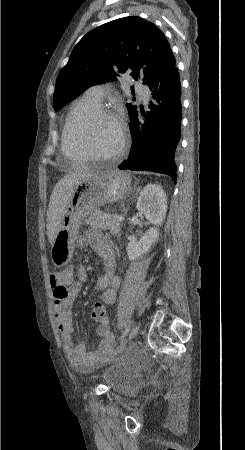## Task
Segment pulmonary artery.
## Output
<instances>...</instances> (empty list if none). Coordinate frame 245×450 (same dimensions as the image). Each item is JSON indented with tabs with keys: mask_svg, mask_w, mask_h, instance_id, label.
<instances>
[{
	"mask_svg": "<svg viewBox=\"0 0 245 450\" xmlns=\"http://www.w3.org/2000/svg\"><path fill=\"white\" fill-rule=\"evenodd\" d=\"M139 86H136L135 90L140 93V95L143 96L144 99L148 98V92L142 91L141 89H139ZM112 92L111 90H109L107 87L103 86V85H95L90 87L86 92L85 95L91 99L92 101H94L95 103L101 104L103 98L106 95H110Z\"/></svg>",
	"mask_w": 245,
	"mask_h": 450,
	"instance_id": "e3ab8cb5",
	"label": "pulmonary artery"
}]
</instances>
